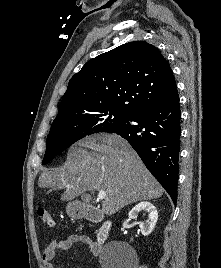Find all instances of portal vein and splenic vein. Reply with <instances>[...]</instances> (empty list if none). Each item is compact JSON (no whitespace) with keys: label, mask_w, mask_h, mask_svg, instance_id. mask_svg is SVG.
Listing matches in <instances>:
<instances>
[{"label":"portal vein and splenic vein","mask_w":221,"mask_h":268,"mask_svg":"<svg viewBox=\"0 0 221 268\" xmlns=\"http://www.w3.org/2000/svg\"><path fill=\"white\" fill-rule=\"evenodd\" d=\"M66 187L69 188L70 186L67 185ZM105 197H106V193H105V191H99V193H98V195H97V198H98L99 200H102V199H104Z\"/></svg>","instance_id":"18ae733b"}]
</instances>
